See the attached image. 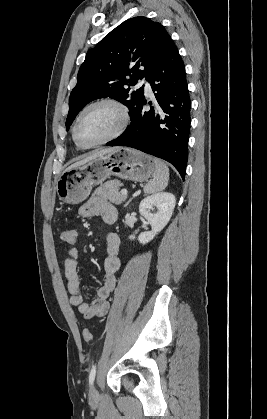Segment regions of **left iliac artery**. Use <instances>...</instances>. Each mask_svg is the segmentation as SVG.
<instances>
[{"label":"left iliac artery","instance_id":"obj_1","mask_svg":"<svg viewBox=\"0 0 267 419\" xmlns=\"http://www.w3.org/2000/svg\"><path fill=\"white\" fill-rule=\"evenodd\" d=\"M96 375V365L92 366V369L89 374V384L92 385Z\"/></svg>","mask_w":267,"mask_h":419}]
</instances>
